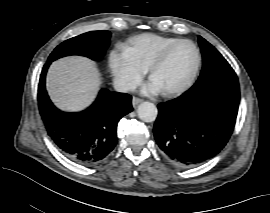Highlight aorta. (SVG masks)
Listing matches in <instances>:
<instances>
[{
  "instance_id": "762f6f07",
  "label": "aorta",
  "mask_w": 270,
  "mask_h": 213,
  "mask_svg": "<svg viewBox=\"0 0 270 213\" xmlns=\"http://www.w3.org/2000/svg\"><path fill=\"white\" fill-rule=\"evenodd\" d=\"M138 117L144 122L155 121L158 110L157 107L151 102H142L137 109Z\"/></svg>"
}]
</instances>
